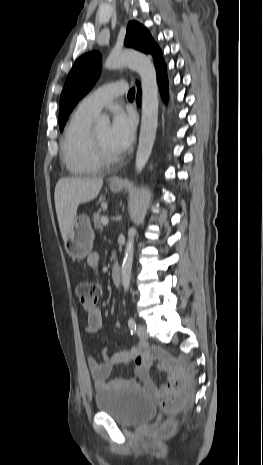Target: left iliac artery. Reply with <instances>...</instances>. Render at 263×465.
Listing matches in <instances>:
<instances>
[{
    "mask_svg": "<svg viewBox=\"0 0 263 465\" xmlns=\"http://www.w3.org/2000/svg\"><path fill=\"white\" fill-rule=\"evenodd\" d=\"M128 326L131 330V333L136 330V321L133 317H130L129 320H128Z\"/></svg>",
    "mask_w": 263,
    "mask_h": 465,
    "instance_id": "obj_1",
    "label": "left iliac artery"
}]
</instances>
